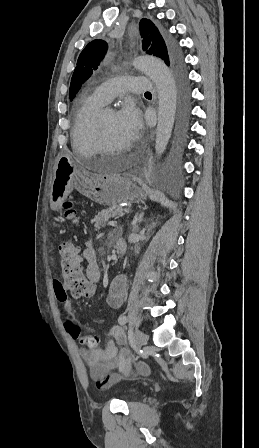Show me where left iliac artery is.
Returning <instances> with one entry per match:
<instances>
[{
	"mask_svg": "<svg viewBox=\"0 0 259 448\" xmlns=\"http://www.w3.org/2000/svg\"><path fill=\"white\" fill-rule=\"evenodd\" d=\"M118 322L120 325H124L127 322V317L125 315L120 316Z\"/></svg>",
	"mask_w": 259,
	"mask_h": 448,
	"instance_id": "obj_1",
	"label": "left iliac artery"
}]
</instances>
